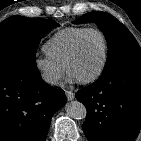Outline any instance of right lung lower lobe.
<instances>
[{
  "mask_svg": "<svg viewBox=\"0 0 141 141\" xmlns=\"http://www.w3.org/2000/svg\"><path fill=\"white\" fill-rule=\"evenodd\" d=\"M65 103L64 91L45 83L37 69L0 68V141H45Z\"/></svg>",
  "mask_w": 141,
  "mask_h": 141,
  "instance_id": "obj_1",
  "label": "right lung lower lobe"
}]
</instances>
